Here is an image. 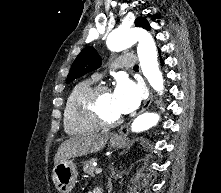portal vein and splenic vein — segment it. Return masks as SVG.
Listing matches in <instances>:
<instances>
[{
	"instance_id": "1",
	"label": "portal vein and splenic vein",
	"mask_w": 221,
	"mask_h": 193,
	"mask_svg": "<svg viewBox=\"0 0 221 193\" xmlns=\"http://www.w3.org/2000/svg\"><path fill=\"white\" fill-rule=\"evenodd\" d=\"M102 172V168H96L95 173L100 174Z\"/></svg>"
}]
</instances>
